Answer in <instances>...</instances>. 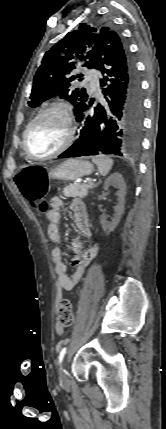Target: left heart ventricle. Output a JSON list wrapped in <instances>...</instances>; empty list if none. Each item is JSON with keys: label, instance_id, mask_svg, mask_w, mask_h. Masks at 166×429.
<instances>
[{"label": "left heart ventricle", "instance_id": "obj_1", "mask_svg": "<svg viewBox=\"0 0 166 429\" xmlns=\"http://www.w3.org/2000/svg\"><path fill=\"white\" fill-rule=\"evenodd\" d=\"M66 126L63 117L51 112L40 118L28 136V148L38 157L57 150L65 140Z\"/></svg>", "mask_w": 166, "mask_h": 429}]
</instances>
